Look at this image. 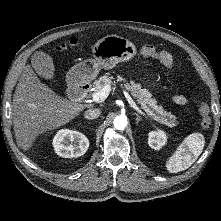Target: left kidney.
Instances as JSON below:
<instances>
[{"label": "left kidney", "instance_id": "1", "mask_svg": "<svg viewBox=\"0 0 221 221\" xmlns=\"http://www.w3.org/2000/svg\"><path fill=\"white\" fill-rule=\"evenodd\" d=\"M166 141V134L162 130L152 131L148 134V144L152 149L159 150Z\"/></svg>", "mask_w": 221, "mask_h": 221}]
</instances>
